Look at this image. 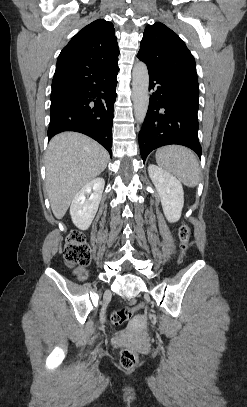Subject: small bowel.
Segmentation results:
<instances>
[{"label":"small bowel","instance_id":"c3829d8e","mask_svg":"<svg viewBox=\"0 0 247 407\" xmlns=\"http://www.w3.org/2000/svg\"><path fill=\"white\" fill-rule=\"evenodd\" d=\"M73 273L78 277L79 280H85L87 278V271L82 266L74 269Z\"/></svg>","mask_w":247,"mask_h":407}]
</instances>
